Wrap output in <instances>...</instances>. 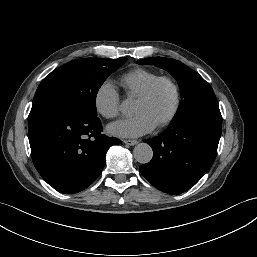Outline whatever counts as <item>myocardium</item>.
I'll return each mask as SVG.
<instances>
[{
	"label": "myocardium",
	"instance_id": "obj_1",
	"mask_svg": "<svg viewBox=\"0 0 257 257\" xmlns=\"http://www.w3.org/2000/svg\"><path fill=\"white\" fill-rule=\"evenodd\" d=\"M167 82L171 85L173 92H174V105L170 112V114L162 121L160 122L157 127L158 128H164L168 125H170L174 119L177 117L180 107H181V90L174 78L171 76H159L156 79H154L137 97L138 100H146L148 99L155 89L158 87L159 84Z\"/></svg>",
	"mask_w": 257,
	"mask_h": 257
}]
</instances>
